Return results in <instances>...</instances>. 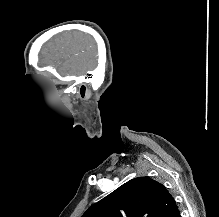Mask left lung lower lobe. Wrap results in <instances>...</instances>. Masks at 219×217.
<instances>
[{
	"label": "left lung lower lobe",
	"mask_w": 219,
	"mask_h": 217,
	"mask_svg": "<svg viewBox=\"0 0 219 217\" xmlns=\"http://www.w3.org/2000/svg\"><path fill=\"white\" fill-rule=\"evenodd\" d=\"M177 217H181L180 213L177 215Z\"/></svg>",
	"instance_id": "1"
}]
</instances>
